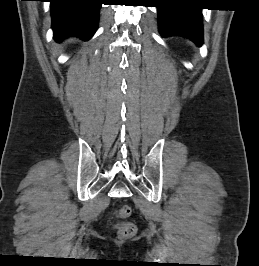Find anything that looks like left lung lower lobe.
Listing matches in <instances>:
<instances>
[{
	"label": "left lung lower lobe",
	"instance_id": "1",
	"mask_svg": "<svg viewBox=\"0 0 259 266\" xmlns=\"http://www.w3.org/2000/svg\"><path fill=\"white\" fill-rule=\"evenodd\" d=\"M159 30L163 37L179 35L203 43L202 13L182 0H158Z\"/></svg>",
	"mask_w": 259,
	"mask_h": 266
}]
</instances>
